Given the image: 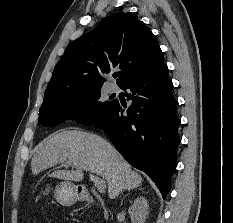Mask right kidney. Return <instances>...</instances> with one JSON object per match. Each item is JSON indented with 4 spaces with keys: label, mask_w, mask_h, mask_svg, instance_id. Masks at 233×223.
Here are the masks:
<instances>
[{
    "label": "right kidney",
    "mask_w": 233,
    "mask_h": 223,
    "mask_svg": "<svg viewBox=\"0 0 233 223\" xmlns=\"http://www.w3.org/2000/svg\"><path fill=\"white\" fill-rule=\"evenodd\" d=\"M148 209V199L143 197V195L137 197V199H135L134 203H132L128 209L132 223H145L149 213Z\"/></svg>",
    "instance_id": "right-kidney-1"
}]
</instances>
